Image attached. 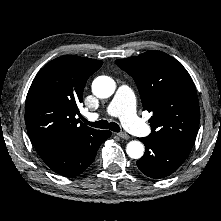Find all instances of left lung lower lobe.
<instances>
[{"mask_svg":"<svg viewBox=\"0 0 221 221\" xmlns=\"http://www.w3.org/2000/svg\"><path fill=\"white\" fill-rule=\"evenodd\" d=\"M146 152L137 161L138 168L151 178H164L176 171L188 157L191 147L165 139L147 136L139 138Z\"/></svg>","mask_w":221,"mask_h":221,"instance_id":"left-lung-lower-lobe-1","label":"left lung lower lobe"}]
</instances>
